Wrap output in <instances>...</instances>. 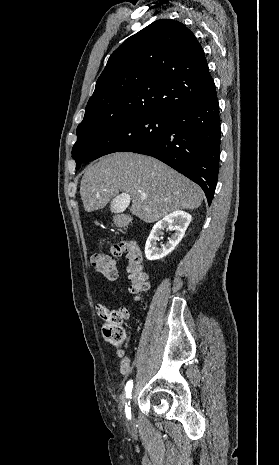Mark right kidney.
Segmentation results:
<instances>
[{
    "label": "right kidney",
    "mask_w": 279,
    "mask_h": 465,
    "mask_svg": "<svg viewBox=\"0 0 279 465\" xmlns=\"http://www.w3.org/2000/svg\"><path fill=\"white\" fill-rule=\"evenodd\" d=\"M191 220L192 216L189 213L178 210L168 214L163 219L158 221L153 226L146 241V258L150 261L159 260L172 252L182 240ZM164 229L173 230L174 233L171 235L168 242L161 249H159L156 247V242L159 240L160 236L163 235Z\"/></svg>",
    "instance_id": "right-kidney-1"
}]
</instances>
